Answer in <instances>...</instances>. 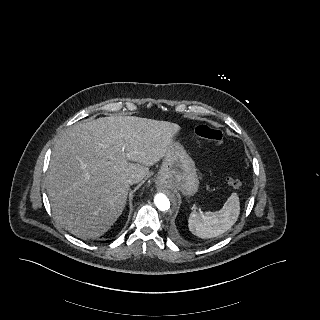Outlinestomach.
Listing matches in <instances>:
<instances>
[{
    "mask_svg": "<svg viewBox=\"0 0 320 320\" xmlns=\"http://www.w3.org/2000/svg\"><path fill=\"white\" fill-rule=\"evenodd\" d=\"M159 187H169L183 195H193L198 191L199 180L195 163L178 142H171L163 157L156 177Z\"/></svg>",
    "mask_w": 320,
    "mask_h": 320,
    "instance_id": "stomach-1",
    "label": "stomach"
}]
</instances>
